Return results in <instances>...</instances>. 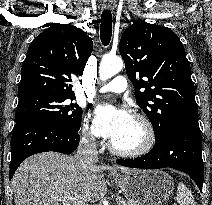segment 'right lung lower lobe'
I'll use <instances>...</instances> for the list:
<instances>
[{
  "instance_id": "1",
  "label": "right lung lower lobe",
  "mask_w": 212,
  "mask_h": 205,
  "mask_svg": "<svg viewBox=\"0 0 212 205\" xmlns=\"http://www.w3.org/2000/svg\"><path fill=\"white\" fill-rule=\"evenodd\" d=\"M79 139L77 131L50 119L34 118L16 122L12 134L10 179L27 157L47 151L72 153Z\"/></svg>"
}]
</instances>
